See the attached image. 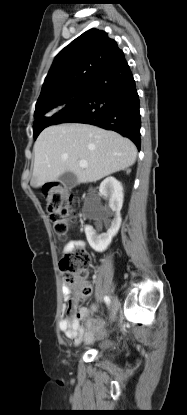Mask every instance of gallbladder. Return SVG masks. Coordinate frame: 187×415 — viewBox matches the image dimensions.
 Instances as JSON below:
<instances>
[{"instance_id": "bac80fb5", "label": "gallbladder", "mask_w": 187, "mask_h": 415, "mask_svg": "<svg viewBox=\"0 0 187 415\" xmlns=\"http://www.w3.org/2000/svg\"><path fill=\"white\" fill-rule=\"evenodd\" d=\"M59 182H61L65 187L71 189L79 185L78 179L72 172H65L59 177Z\"/></svg>"}]
</instances>
